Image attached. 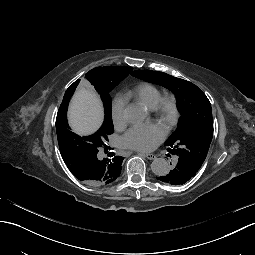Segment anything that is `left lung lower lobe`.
<instances>
[{"instance_id": "left-lung-lower-lobe-1", "label": "left lung lower lobe", "mask_w": 255, "mask_h": 255, "mask_svg": "<svg viewBox=\"0 0 255 255\" xmlns=\"http://www.w3.org/2000/svg\"><path fill=\"white\" fill-rule=\"evenodd\" d=\"M192 178H196V173H193V168L181 161L175 162L172 166V170H170L166 176L162 174L157 176V179L163 183L177 184L180 187L187 186Z\"/></svg>"}]
</instances>
